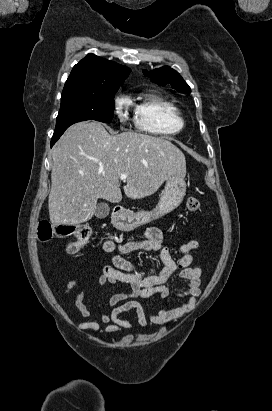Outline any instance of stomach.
Instances as JSON below:
<instances>
[{"label":"stomach","instance_id":"0dacf381","mask_svg":"<svg viewBox=\"0 0 272 411\" xmlns=\"http://www.w3.org/2000/svg\"><path fill=\"white\" fill-rule=\"evenodd\" d=\"M161 198L152 211L122 210L112 216V224L121 231H132L135 228L159 219L175 210L183 201L186 194V183L184 177L171 175L166 180Z\"/></svg>","mask_w":272,"mask_h":411}]
</instances>
